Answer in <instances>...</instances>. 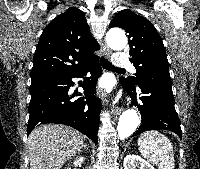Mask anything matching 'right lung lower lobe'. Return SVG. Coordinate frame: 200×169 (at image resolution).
Here are the masks:
<instances>
[{
    "instance_id": "1",
    "label": "right lung lower lobe",
    "mask_w": 200,
    "mask_h": 169,
    "mask_svg": "<svg viewBox=\"0 0 200 169\" xmlns=\"http://www.w3.org/2000/svg\"><path fill=\"white\" fill-rule=\"evenodd\" d=\"M86 69L90 71V77L82 85L85 97L71 101L74 97L68 94L69 87L74 84L71 79L81 77ZM101 74L102 68L96 57L72 74L31 84L27 134L29 135L36 126L41 124H65L79 130L97 143L101 109L94 93Z\"/></svg>"
}]
</instances>
